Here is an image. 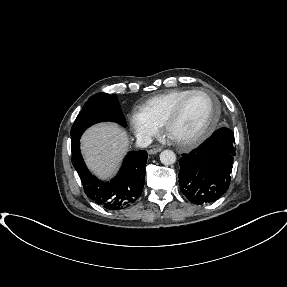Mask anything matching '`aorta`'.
I'll return each instance as SVG.
<instances>
[{
	"label": "aorta",
	"mask_w": 287,
	"mask_h": 287,
	"mask_svg": "<svg viewBox=\"0 0 287 287\" xmlns=\"http://www.w3.org/2000/svg\"><path fill=\"white\" fill-rule=\"evenodd\" d=\"M160 161L164 165H172L176 161V154L172 150H163L160 153Z\"/></svg>",
	"instance_id": "obj_1"
}]
</instances>
